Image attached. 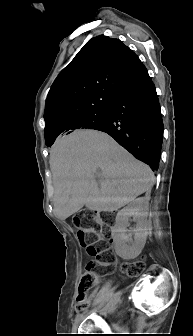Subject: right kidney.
Segmentation results:
<instances>
[{
	"label": "right kidney",
	"instance_id": "right-kidney-1",
	"mask_svg": "<svg viewBox=\"0 0 193 336\" xmlns=\"http://www.w3.org/2000/svg\"><path fill=\"white\" fill-rule=\"evenodd\" d=\"M148 211V199L140 197L117 213L113 234L116 250L120 256L134 258L141 253L148 234ZM130 217L136 222V227L132 231L127 230Z\"/></svg>",
	"mask_w": 193,
	"mask_h": 336
}]
</instances>
